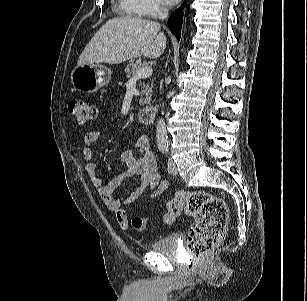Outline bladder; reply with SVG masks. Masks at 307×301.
Masks as SVG:
<instances>
[{
    "label": "bladder",
    "instance_id": "obj_1",
    "mask_svg": "<svg viewBox=\"0 0 307 301\" xmlns=\"http://www.w3.org/2000/svg\"><path fill=\"white\" fill-rule=\"evenodd\" d=\"M181 238L179 233H171L154 240L151 251L170 259L178 258V242Z\"/></svg>",
    "mask_w": 307,
    "mask_h": 301
}]
</instances>
